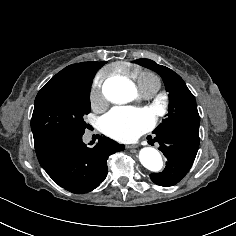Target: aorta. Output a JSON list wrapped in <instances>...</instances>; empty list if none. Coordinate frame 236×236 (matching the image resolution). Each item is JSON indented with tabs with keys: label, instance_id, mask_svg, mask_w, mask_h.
<instances>
[{
	"label": "aorta",
	"instance_id": "762f6f07",
	"mask_svg": "<svg viewBox=\"0 0 236 236\" xmlns=\"http://www.w3.org/2000/svg\"><path fill=\"white\" fill-rule=\"evenodd\" d=\"M104 96L113 103H126L131 101L136 89L132 82L122 77H114L103 85ZM141 164L148 170L158 172L163 167L160 153L152 147H144L139 152Z\"/></svg>",
	"mask_w": 236,
	"mask_h": 236
}]
</instances>
